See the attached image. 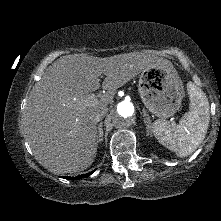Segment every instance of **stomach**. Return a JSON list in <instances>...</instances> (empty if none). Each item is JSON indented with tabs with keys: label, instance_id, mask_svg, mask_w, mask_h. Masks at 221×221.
<instances>
[{
	"label": "stomach",
	"instance_id": "0dacf381",
	"mask_svg": "<svg viewBox=\"0 0 221 221\" xmlns=\"http://www.w3.org/2000/svg\"><path fill=\"white\" fill-rule=\"evenodd\" d=\"M138 90L146 108L163 119L179 110L184 97L183 83L174 67L157 66L143 70Z\"/></svg>",
	"mask_w": 221,
	"mask_h": 221
}]
</instances>
